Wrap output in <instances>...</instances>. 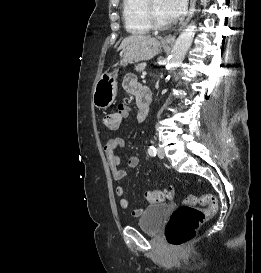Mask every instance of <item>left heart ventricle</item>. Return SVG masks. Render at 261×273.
Segmentation results:
<instances>
[{
  "label": "left heart ventricle",
  "mask_w": 261,
  "mask_h": 273,
  "mask_svg": "<svg viewBox=\"0 0 261 273\" xmlns=\"http://www.w3.org/2000/svg\"><path fill=\"white\" fill-rule=\"evenodd\" d=\"M153 8L159 21L163 23L170 22L164 8V0H153Z\"/></svg>",
  "instance_id": "b2bd125f"
}]
</instances>
